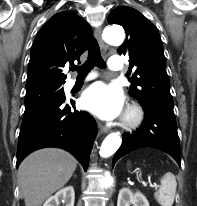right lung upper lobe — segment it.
Segmentation results:
<instances>
[{
  "instance_id": "1",
  "label": "right lung upper lobe",
  "mask_w": 197,
  "mask_h": 206,
  "mask_svg": "<svg viewBox=\"0 0 197 206\" xmlns=\"http://www.w3.org/2000/svg\"><path fill=\"white\" fill-rule=\"evenodd\" d=\"M90 39V25L77 14L64 11L52 16L33 42L26 89L61 87L66 79L62 68L79 60Z\"/></svg>"
}]
</instances>
